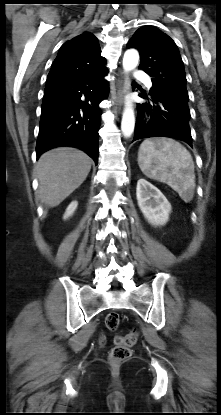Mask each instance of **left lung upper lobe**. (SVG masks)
I'll list each match as a JSON object with an SVG mask.
<instances>
[{"label": "left lung upper lobe", "mask_w": 221, "mask_h": 415, "mask_svg": "<svg viewBox=\"0 0 221 415\" xmlns=\"http://www.w3.org/2000/svg\"><path fill=\"white\" fill-rule=\"evenodd\" d=\"M140 53L139 69L152 77L150 92H168L188 97L186 74L174 41L154 26L139 28L127 44Z\"/></svg>", "instance_id": "obj_1"}]
</instances>
